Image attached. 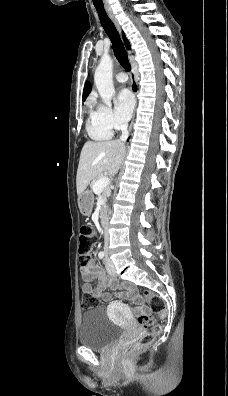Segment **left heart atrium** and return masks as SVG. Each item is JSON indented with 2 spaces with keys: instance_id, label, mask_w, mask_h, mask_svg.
<instances>
[{
  "instance_id": "39dd6f15",
  "label": "left heart atrium",
  "mask_w": 228,
  "mask_h": 396,
  "mask_svg": "<svg viewBox=\"0 0 228 396\" xmlns=\"http://www.w3.org/2000/svg\"><path fill=\"white\" fill-rule=\"evenodd\" d=\"M135 105L133 94L128 89L119 91L115 98V110L118 118L126 122L130 118Z\"/></svg>"
}]
</instances>
